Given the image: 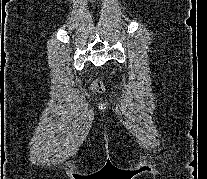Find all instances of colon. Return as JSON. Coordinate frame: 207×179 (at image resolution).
<instances>
[{
  "label": "colon",
  "instance_id": "colon-1",
  "mask_svg": "<svg viewBox=\"0 0 207 179\" xmlns=\"http://www.w3.org/2000/svg\"><path fill=\"white\" fill-rule=\"evenodd\" d=\"M92 89L94 91L100 92L104 90V85L100 80H95L92 84Z\"/></svg>",
  "mask_w": 207,
  "mask_h": 179
}]
</instances>
